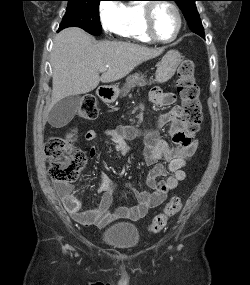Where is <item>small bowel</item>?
I'll list each match as a JSON object with an SVG mask.
<instances>
[{
  "instance_id": "1",
  "label": "small bowel",
  "mask_w": 250,
  "mask_h": 285,
  "mask_svg": "<svg viewBox=\"0 0 250 285\" xmlns=\"http://www.w3.org/2000/svg\"><path fill=\"white\" fill-rule=\"evenodd\" d=\"M150 100L156 106L167 107L173 103L174 96L172 93L155 88L150 93ZM156 125L159 127L169 125V136L175 146L162 138L155 130H141L135 126H118L105 132L121 156L128 154L127 142L129 140L140 136L145 139L144 158L145 163L150 167L146 178L148 190H133L138 201L137 205L121 206L111 211L115 189L113 182L106 174L100 175L99 191L102 197L97 207L92 210L83 208L81 200L74 195L70 183L58 182L56 184L57 193L65 209L76 222L84 226L105 227L118 219L139 220L146 216L149 210L160 205L166 199L167 193L175 189L179 182L185 180L186 174L183 168L194 154L197 143L184 128L180 107L174 106L159 116ZM98 135L97 130L91 129L86 132L85 139L92 143ZM89 154L91 157L97 154L96 147L92 144L89 146ZM162 160L167 162L170 173L167 177H165V168L159 163Z\"/></svg>"
}]
</instances>
